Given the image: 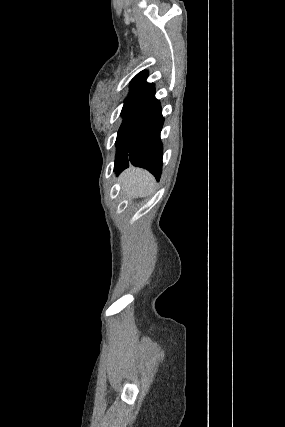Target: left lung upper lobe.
Segmentation results:
<instances>
[{
  "label": "left lung upper lobe",
  "mask_w": 285,
  "mask_h": 427,
  "mask_svg": "<svg viewBox=\"0 0 285 427\" xmlns=\"http://www.w3.org/2000/svg\"><path fill=\"white\" fill-rule=\"evenodd\" d=\"M147 76L148 73L146 71H142L131 81L129 97L125 100L121 112L123 122L118 131L116 144L127 126L155 97L154 85L146 82Z\"/></svg>",
  "instance_id": "1"
}]
</instances>
